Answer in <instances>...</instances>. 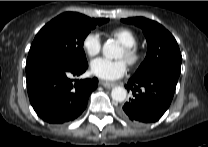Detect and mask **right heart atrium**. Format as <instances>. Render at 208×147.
<instances>
[{"mask_svg":"<svg viewBox=\"0 0 208 147\" xmlns=\"http://www.w3.org/2000/svg\"><path fill=\"white\" fill-rule=\"evenodd\" d=\"M82 46L86 54L90 57H94L101 51L102 41L98 33H88L82 42Z\"/></svg>","mask_w":208,"mask_h":147,"instance_id":"d8ad5b80","label":"right heart atrium"}]
</instances>
